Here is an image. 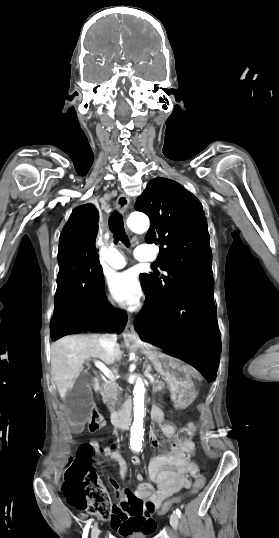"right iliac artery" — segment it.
<instances>
[{
    "mask_svg": "<svg viewBox=\"0 0 279 538\" xmlns=\"http://www.w3.org/2000/svg\"><path fill=\"white\" fill-rule=\"evenodd\" d=\"M91 522H92V520H89L88 523H87V525L85 526L84 531H83L82 538H87V537H88V532H89V528H90Z\"/></svg>",
    "mask_w": 279,
    "mask_h": 538,
    "instance_id": "1",
    "label": "right iliac artery"
}]
</instances>
